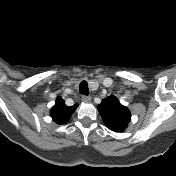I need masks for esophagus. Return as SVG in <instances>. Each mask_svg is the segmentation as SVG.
<instances>
[{
	"mask_svg": "<svg viewBox=\"0 0 176 176\" xmlns=\"http://www.w3.org/2000/svg\"><path fill=\"white\" fill-rule=\"evenodd\" d=\"M82 101L85 102V103H88V102L91 101V97L84 95V96L82 97Z\"/></svg>",
	"mask_w": 176,
	"mask_h": 176,
	"instance_id": "esophagus-1",
	"label": "esophagus"
}]
</instances>
